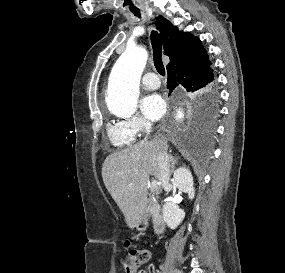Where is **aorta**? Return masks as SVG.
<instances>
[{"mask_svg": "<svg viewBox=\"0 0 285 273\" xmlns=\"http://www.w3.org/2000/svg\"><path fill=\"white\" fill-rule=\"evenodd\" d=\"M147 51L142 47H127L114 64L106 95L109 111L120 117H130L137 109L139 85L147 62ZM182 113L178 114V118Z\"/></svg>", "mask_w": 285, "mask_h": 273, "instance_id": "aorta-1", "label": "aorta"}]
</instances>
